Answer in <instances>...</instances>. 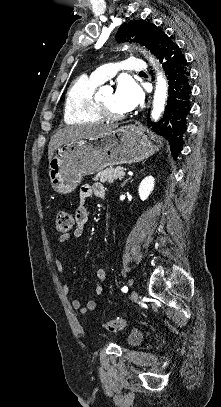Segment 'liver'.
<instances>
[{"mask_svg": "<svg viewBox=\"0 0 221 407\" xmlns=\"http://www.w3.org/2000/svg\"><path fill=\"white\" fill-rule=\"evenodd\" d=\"M117 125L89 124L72 125L56 131L48 145V159L52 158L55 150L69 141H77L84 138H93L102 133L112 131Z\"/></svg>", "mask_w": 221, "mask_h": 407, "instance_id": "1", "label": "liver"}]
</instances>
